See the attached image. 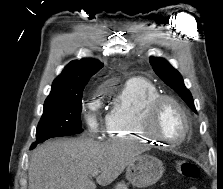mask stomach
Here are the masks:
<instances>
[{"mask_svg": "<svg viewBox=\"0 0 223 189\" xmlns=\"http://www.w3.org/2000/svg\"><path fill=\"white\" fill-rule=\"evenodd\" d=\"M164 172L163 163L148 154L138 155L126 169V179L136 187H147L157 182Z\"/></svg>", "mask_w": 223, "mask_h": 189, "instance_id": "obj_1", "label": "stomach"}]
</instances>
